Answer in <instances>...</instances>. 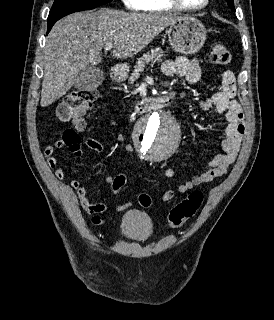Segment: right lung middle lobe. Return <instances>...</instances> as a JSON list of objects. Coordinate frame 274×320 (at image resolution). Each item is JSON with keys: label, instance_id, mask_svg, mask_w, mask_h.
<instances>
[{"label": "right lung middle lobe", "instance_id": "right-lung-middle-lobe-1", "mask_svg": "<svg viewBox=\"0 0 274 320\" xmlns=\"http://www.w3.org/2000/svg\"><path fill=\"white\" fill-rule=\"evenodd\" d=\"M112 0H54L47 22H55L74 12L91 10Z\"/></svg>", "mask_w": 274, "mask_h": 320}]
</instances>
